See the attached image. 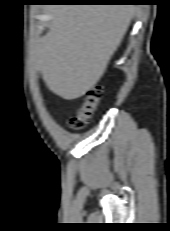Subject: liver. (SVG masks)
Here are the masks:
<instances>
[{
    "label": "liver",
    "instance_id": "1",
    "mask_svg": "<svg viewBox=\"0 0 170 231\" xmlns=\"http://www.w3.org/2000/svg\"><path fill=\"white\" fill-rule=\"evenodd\" d=\"M137 8L131 5H56L33 61L47 87L66 100L83 96L102 77Z\"/></svg>",
    "mask_w": 170,
    "mask_h": 231
}]
</instances>
